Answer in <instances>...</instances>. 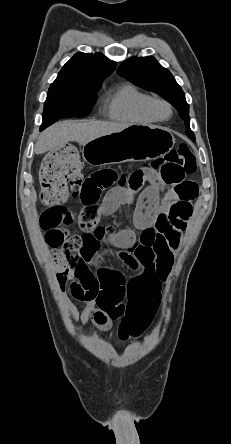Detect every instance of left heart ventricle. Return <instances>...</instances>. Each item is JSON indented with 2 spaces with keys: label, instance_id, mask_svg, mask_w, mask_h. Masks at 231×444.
I'll list each match as a JSON object with an SVG mask.
<instances>
[{
  "label": "left heart ventricle",
  "instance_id": "left-heart-ventricle-1",
  "mask_svg": "<svg viewBox=\"0 0 231 444\" xmlns=\"http://www.w3.org/2000/svg\"><path fill=\"white\" fill-rule=\"evenodd\" d=\"M156 110L163 117H165L168 114V110L164 105H157Z\"/></svg>",
  "mask_w": 231,
  "mask_h": 444
}]
</instances>
